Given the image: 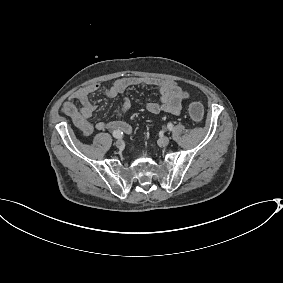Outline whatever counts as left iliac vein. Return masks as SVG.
<instances>
[{
	"instance_id": "obj_1",
	"label": "left iliac vein",
	"mask_w": 283,
	"mask_h": 283,
	"mask_svg": "<svg viewBox=\"0 0 283 283\" xmlns=\"http://www.w3.org/2000/svg\"><path fill=\"white\" fill-rule=\"evenodd\" d=\"M159 142H160L162 145L166 146V145L169 144L170 139H169L167 136H163V137H161V138L159 139Z\"/></svg>"
}]
</instances>
